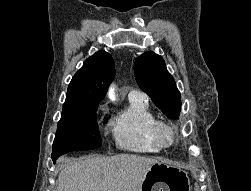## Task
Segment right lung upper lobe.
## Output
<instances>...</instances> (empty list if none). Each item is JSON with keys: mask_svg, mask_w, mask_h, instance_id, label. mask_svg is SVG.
Instances as JSON below:
<instances>
[{"mask_svg": "<svg viewBox=\"0 0 251 191\" xmlns=\"http://www.w3.org/2000/svg\"><path fill=\"white\" fill-rule=\"evenodd\" d=\"M114 75L115 64L109 53L98 51L90 56L69 84L63 110L98 105Z\"/></svg>", "mask_w": 251, "mask_h": 191, "instance_id": "right-lung-upper-lobe-1", "label": "right lung upper lobe"}]
</instances>
